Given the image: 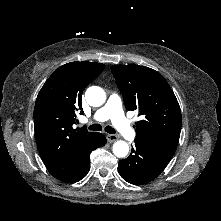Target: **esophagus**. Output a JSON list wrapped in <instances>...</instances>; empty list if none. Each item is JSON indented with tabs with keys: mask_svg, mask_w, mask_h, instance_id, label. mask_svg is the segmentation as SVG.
<instances>
[{
	"mask_svg": "<svg viewBox=\"0 0 221 221\" xmlns=\"http://www.w3.org/2000/svg\"><path fill=\"white\" fill-rule=\"evenodd\" d=\"M117 139H118V136L115 135V134H108V135H107V140H108L109 142L116 141Z\"/></svg>",
	"mask_w": 221,
	"mask_h": 221,
	"instance_id": "34e87169",
	"label": "esophagus"
}]
</instances>
